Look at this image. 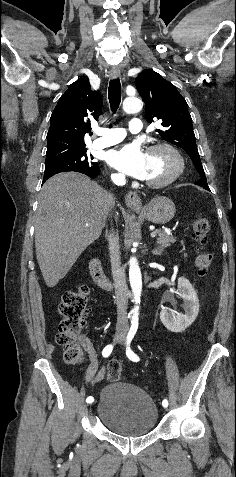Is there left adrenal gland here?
<instances>
[{
	"label": "left adrenal gland",
	"mask_w": 236,
	"mask_h": 477,
	"mask_svg": "<svg viewBox=\"0 0 236 477\" xmlns=\"http://www.w3.org/2000/svg\"><path fill=\"white\" fill-rule=\"evenodd\" d=\"M162 252H163V248H158L152 251V253L155 255H161Z\"/></svg>",
	"instance_id": "1"
}]
</instances>
